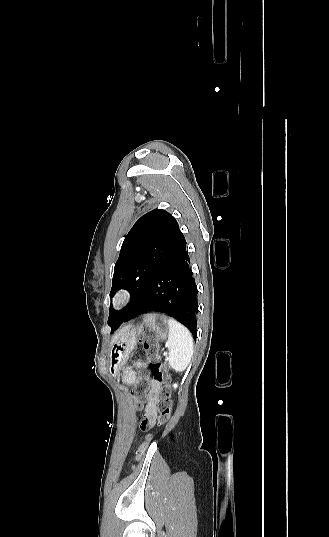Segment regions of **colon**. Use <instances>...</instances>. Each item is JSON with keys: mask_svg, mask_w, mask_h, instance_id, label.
<instances>
[{"mask_svg": "<svg viewBox=\"0 0 329 537\" xmlns=\"http://www.w3.org/2000/svg\"><path fill=\"white\" fill-rule=\"evenodd\" d=\"M145 350L147 358L149 360V372L156 380L160 382V386L157 393V422L159 425H162L166 423V421L170 418L171 415L172 402L170 397V375L167 372L165 366L158 360L159 347L155 343V341H145ZM135 387V405L137 408H141L147 398L146 392L148 390V381L146 376H139L135 382ZM150 426L151 423L147 420L143 421L141 424L142 430H147ZM149 439L150 435L148 434L141 441L136 451L137 459L140 458L141 455L145 452Z\"/></svg>", "mask_w": 329, "mask_h": 537, "instance_id": "5ec220e1", "label": "colon"}]
</instances>
